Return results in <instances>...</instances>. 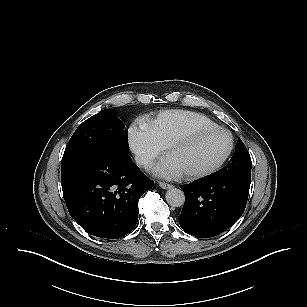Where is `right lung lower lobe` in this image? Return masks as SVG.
Returning a JSON list of instances; mask_svg holds the SVG:
<instances>
[{
    "label": "right lung lower lobe",
    "instance_id": "1",
    "mask_svg": "<svg viewBox=\"0 0 307 307\" xmlns=\"http://www.w3.org/2000/svg\"><path fill=\"white\" fill-rule=\"evenodd\" d=\"M61 184L71 217L87 233L117 239L136 226L138 200L154 182L126 153L101 149L62 164Z\"/></svg>",
    "mask_w": 307,
    "mask_h": 307
}]
</instances>
